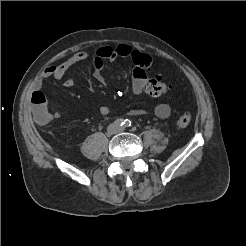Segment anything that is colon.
<instances>
[{"label":"colon","mask_w":246,"mask_h":246,"mask_svg":"<svg viewBox=\"0 0 246 246\" xmlns=\"http://www.w3.org/2000/svg\"><path fill=\"white\" fill-rule=\"evenodd\" d=\"M131 59L135 67L140 72H146L151 66L152 59L150 55L134 50L131 54ZM170 87L167 86L161 79V77L148 78L144 84V92L152 97L163 96L168 93ZM31 103L33 106V114L38 122H44L48 115L46 106V100L39 92H34L31 97ZM191 121V115L189 112H184L178 116L176 124L180 128H184L189 125Z\"/></svg>","instance_id":"5ec220e1"}]
</instances>
